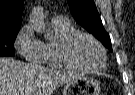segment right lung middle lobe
Instances as JSON below:
<instances>
[{"label":"right lung middle lobe","mask_w":135,"mask_h":95,"mask_svg":"<svg viewBox=\"0 0 135 95\" xmlns=\"http://www.w3.org/2000/svg\"><path fill=\"white\" fill-rule=\"evenodd\" d=\"M19 31H14L6 34H0V57L14 56V41Z\"/></svg>","instance_id":"right-lung-middle-lobe-1"}]
</instances>
